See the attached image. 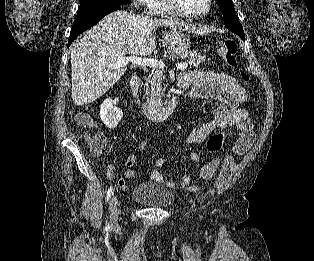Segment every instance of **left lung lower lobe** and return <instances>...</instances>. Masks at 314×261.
<instances>
[{
    "mask_svg": "<svg viewBox=\"0 0 314 261\" xmlns=\"http://www.w3.org/2000/svg\"><path fill=\"white\" fill-rule=\"evenodd\" d=\"M242 40H245V36H240Z\"/></svg>",
    "mask_w": 314,
    "mask_h": 261,
    "instance_id": "left-lung-lower-lobe-1",
    "label": "left lung lower lobe"
}]
</instances>
